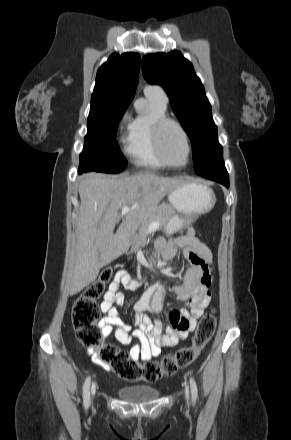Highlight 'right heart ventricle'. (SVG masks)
<instances>
[{
  "label": "right heart ventricle",
  "instance_id": "obj_1",
  "mask_svg": "<svg viewBox=\"0 0 291 440\" xmlns=\"http://www.w3.org/2000/svg\"><path fill=\"white\" fill-rule=\"evenodd\" d=\"M146 97L149 112L131 118L124 152L135 166L163 168L165 164L159 159L155 150L152 125L156 120L166 117V104L153 96L146 95Z\"/></svg>",
  "mask_w": 291,
  "mask_h": 440
}]
</instances>
